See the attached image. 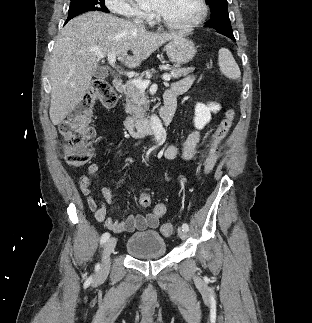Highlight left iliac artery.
Returning a JSON list of instances; mask_svg holds the SVG:
<instances>
[{
	"instance_id": "44dca946",
	"label": "left iliac artery",
	"mask_w": 312,
	"mask_h": 323,
	"mask_svg": "<svg viewBox=\"0 0 312 323\" xmlns=\"http://www.w3.org/2000/svg\"><path fill=\"white\" fill-rule=\"evenodd\" d=\"M182 228H183L184 230H186V231H188V230H189V226H188V224H186V223H184V224L182 225Z\"/></svg>"
}]
</instances>
